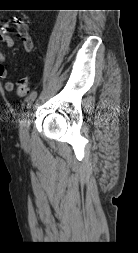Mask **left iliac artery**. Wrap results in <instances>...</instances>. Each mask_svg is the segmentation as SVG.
<instances>
[{"mask_svg":"<svg viewBox=\"0 0 138 253\" xmlns=\"http://www.w3.org/2000/svg\"><path fill=\"white\" fill-rule=\"evenodd\" d=\"M37 97V92L36 91H33L28 99H27V108H30L31 107V104L34 102V100L36 99Z\"/></svg>","mask_w":138,"mask_h":253,"instance_id":"left-iliac-artery-1","label":"left iliac artery"}]
</instances>
